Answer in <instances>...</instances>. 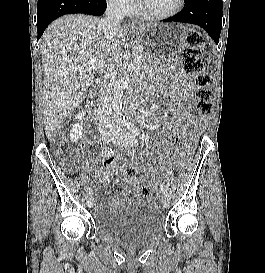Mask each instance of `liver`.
<instances>
[{
  "instance_id": "1",
  "label": "liver",
  "mask_w": 265,
  "mask_h": 273,
  "mask_svg": "<svg viewBox=\"0 0 265 273\" xmlns=\"http://www.w3.org/2000/svg\"><path fill=\"white\" fill-rule=\"evenodd\" d=\"M99 22L98 18L87 15H65L55 20L42 36V107L48 138L83 101L93 82L91 72L86 69L75 72L72 68L82 66L93 58L110 65L119 57L129 29L119 26L114 36L106 39Z\"/></svg>"
}]
</instances>
